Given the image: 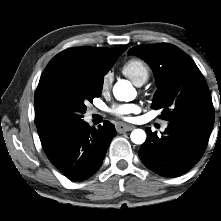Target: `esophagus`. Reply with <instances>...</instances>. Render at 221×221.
I'll return each mask as SVG.
<instances>
[{
    "instance_id": "esophagus-1",
    "label": "esophagus",
    "mask_w": 221,
    "mask_h": 221,
    "mask_svg": "<svg viewBox=\"0 0 221 221\" xmlns=\"http://www.w3.org/2000/svg\"><path fill=\"white\" fill-rule=\"evenodd\" d=\"M115 127H116L117 132H119V133L131 131L135 128L132 125H127V124H123V123H116Z\"/></svg>"
}]
</instances>
